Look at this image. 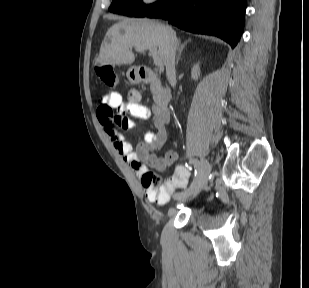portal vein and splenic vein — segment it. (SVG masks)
I'll list each match as a JSON object with an SVG mask.
<instances>
[{
    "instance_id": "1",
    "label": "portal vein and splenic vein",
    "mask_w": 309,
    "mask_h": 288,
    "mask_svg": "<svg viewBox=\"0 0 309 288\" xmlns=\"http://www.w3.org/2000/svg\"><path fill=\"white\" fill-rule=\"evenodd\" d=\"M147 49L150 51V53L152 55L154 64L156 66L162 65V60H161V58L156 53V50H157L156 47H154V46H150V47L139 46V47H136V51L137 52H143V51H145Z\"/></svg>"
}]
</instances>
